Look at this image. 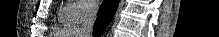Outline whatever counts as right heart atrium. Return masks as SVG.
<instances>
[{
  "label": "right heart atrium",
  "instance_id": "obj_1",
  "mask_svg": "<svg viewBox=\"0 0 219 37\" xmlns=\"http://www.w3.org/2000/svg\"><path fill=\"white\" fill-rule=\"evenodd\" d=\"M97 4L91 0L68 1L62 11L64 21L69 23H80L90 19L96 12Z\"/></svg>",
  "mask_w": 219,
  "mask_h": 37
}]
</instances>
